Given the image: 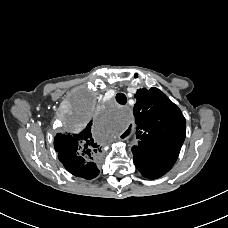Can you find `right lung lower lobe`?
Instances as JSON below:
<instances>
[{
    "instance_id": "98d812e1",
    "label": "right lung lower lobe",
    "mask_w": 228,
    "mask_h": 228,
    "mask_svg": "<svg viewBox=\"0 0 228 228\" xmlns=\"http://www.w3.org/2000/svg\"><path fill=\"white\" fill-rule=\"evenodd\" d=\"M66 169H67L70 173H72L73 175L77 176V172H76V170H75L72 166H68ZM98 173H99V170L97 169V174H96V176L98 175Z\"/></svg>"
}]
</instances>
